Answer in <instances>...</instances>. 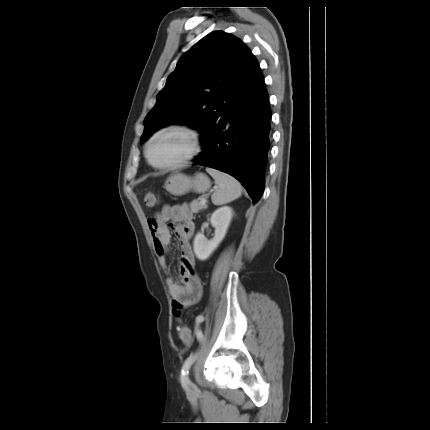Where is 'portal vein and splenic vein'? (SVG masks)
Listing matches in <instances>:
<instances>
[{
  "instance_id": "obj_1",
  "label": "portal vein and splenic vein",
  "mask_w": 430,
  "mask_h": 430,
  "mask_svg": "<svg viewBox=\"0 0 430 430\" xmlns=\"http://www.w3.org/2000/svg\"><path fill=\"white\" fill-rule=\"evenodd\" d=\"M200 203H201V204H205V203H206V198H202V199L200 200Z\"/></svg>"
}]
</instances>
